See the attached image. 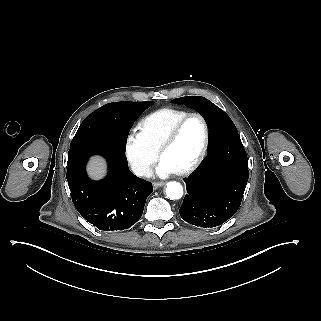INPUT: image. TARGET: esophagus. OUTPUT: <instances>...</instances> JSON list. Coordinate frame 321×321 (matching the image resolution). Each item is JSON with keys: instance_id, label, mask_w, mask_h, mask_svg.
<instances>
[{"instance_id": "obj_1", "label": "esophagus", "mask_w": 321, "mask_h": 321, "mask_svg": "<svg viewBox=\"0 0 321 321\" xmlns=\"http://www.w3.org/2000/svg\"><path fill=\"white\" fill-rule=\"evenodd\" d=\"M153 185L155 187H161V186L165 185V182H154Z\"/></svg>"}]
</instances>
